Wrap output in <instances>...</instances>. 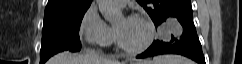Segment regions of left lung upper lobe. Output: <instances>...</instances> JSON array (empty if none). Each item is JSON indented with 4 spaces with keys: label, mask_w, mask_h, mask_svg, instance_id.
Returning a JSON list of instances; mask_svg holds the SVG:
<instances>
[{
    "label": "left lung upper lobe",
    "mask_w": 242,
    "mask_h": 64,
    "mask_svg": "<svg viewBox=\"0 0 242 64\" xmlns=\"http://www.w3.org/2000/svg\"><path fill=\"white\" fill-rule=\"evenodd\" d=\"M137 2L143 6L156 27L173 12L191 7V0H137Z\"/></svg>",
    "instance_id": "left-lung-upper-lobe-1"
}]
</instances>
